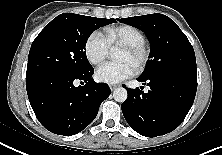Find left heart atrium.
Returning <instances> with one entry per match:
<instances>
[{
  "label": "left heart atrium",
  "instance_id": "obj_1",
  "mask_svg": "<svg viewBox=\"0 0 222 155\" xmlns=\"http://www.w3.org/2000/svg\"><path fill=\"white\" fill-rule=\"evenodd\" d=\"M135 73V67L126 61L107 62L96 71V78L103 83H119Z\"/></svg>",
  "mask_w": 222,
  "mask_h": 155
}]
</instances>
